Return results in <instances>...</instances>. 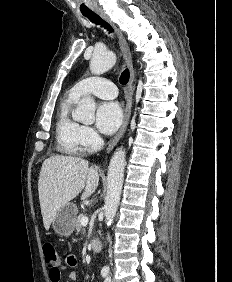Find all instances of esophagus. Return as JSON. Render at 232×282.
Listing matches in <instances>:
<instances>
[{"instance_id": "1", "label": "esophagus", "mask_w": 232, "mask_h": 282, "mask_svg": "<svg viewBox=\"0 0 232 282\" xmlns=\"http://www.w3.org/2000/svg\"><path fill=\"white\" fill-rule=\"evenodd\" d=\"M96 13L103 20H105L109 25H111L113 27V29L115 30L117 37H118V40H119L121 53H122V55H123V57H124V59L127 63V66L129 68V72H130V77H129V81H128V84H127V91H126L127 102H126V107H125V110H124L123 122H122V125H121L119 131L113 137V139L110 141V143L107 147L106 152L110 153L113 150V148L116 146L118 141L121 139V137L124 135V133L127 129V126L129 124V120H130V117H131L132 103H133L135 71H134L132 57H131L130 50H129V45H128L125 37L123 36L122 32L110 20L108 15L103 10H97Z\"/></svg>"}]
</instances>
